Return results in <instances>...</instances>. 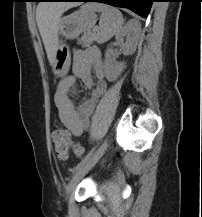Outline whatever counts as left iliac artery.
I'll return each mask as SVG.
<instances>
[{"instance_id": "44dca946", "label": "left iliac artery", "mask_w": 202, "mask_h": 217, "mask_svg": "<svg viewBox=\"0 0 202 217\" xmlns=\"http://www.w3.org/2000/svg\"><path fill=\"white\" fill-rule=\"evenodd\" d=\"M95 148H92L88 154L76 165V167L73 168L72 172L73 174L78 171L89 159L90 157L93 155L94 151H95Z\"/></svg>"}]
</instances>
